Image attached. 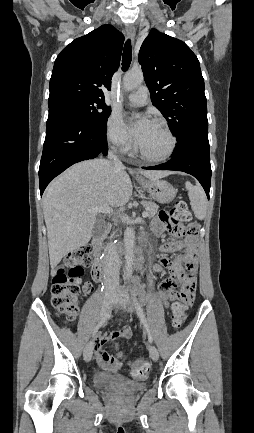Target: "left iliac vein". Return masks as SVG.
<instances>
[{"label": "left iliac vein", "instance_id": "obj_1", "mask_svg": "<svg viewBox=\"0 0 254 433\" xmlns=\"http://www.w3.org/2000/svg\"><path fill=\"white\" fill-rule=\"evenodd\" d=\"M115 305L117 307H123L127 312H133L135 303L134 300L129 296L124 297H116L115 299ZM149 354L152 360L157 361L159 358V352L157 348L153 345L149 346Z\"/></svg>", "mask_w": 254, "mask_h": 433}]
</instances>
